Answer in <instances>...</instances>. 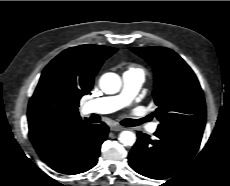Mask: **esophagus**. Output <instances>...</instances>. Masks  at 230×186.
<instances>
[{"instance_id":"esophagus-1","label":"esophagus","mask_w":230,"mask_h":186,"mask_svg":"<svg viewBox=\"0 0 230 186\" xmlns=\"http://www.w3.org/2000/svg\"><path fill=\"white\" fill-rule=\"evenodd\" d=\"M123 129H125L123 126H120V125H117V124H112L110 126L111 131H121Z\"/></svg>"}]
</instances>
